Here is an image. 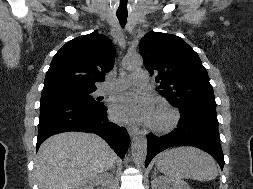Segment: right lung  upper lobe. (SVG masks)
Returning <instances> with one entry per match:
<instances>
[{"label":"right lung upper lobe","instance_id":"1","mask_svg":"<svg viewBox=\"0 0 253 189\" xmlns=\"http://www.w3.org/2000/svg\"><path fill=\"white\" fill-rule=\"evenodd\" d=\"M112 41L97 31L67 42L53 57L43 90L58 88L97 89L95 83L114 65Z\"/></svg>","mask_w":253,"mask_h":189}]
</instances>
